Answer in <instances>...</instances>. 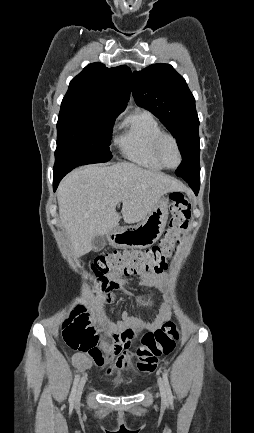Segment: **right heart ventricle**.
<instances>
[{
    "instance_id": "1",
    "label": "right heart ventricle",
    "mask_w": 254,
    "mask_h": 433,
    "mask_svg": "<svg viewBox=\"0 0 254 433\" xmlns=\"http://www.w3.org/2000/svg\"><path fill=\"white\" fill-rule=\"evenodd\" d=\"M121 129L115 142L126 159L146 169H163L152 152L154 138L163 132L153 114L136 112L124 120Z\"/></svg>"
}]
</instances>
